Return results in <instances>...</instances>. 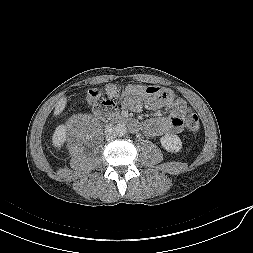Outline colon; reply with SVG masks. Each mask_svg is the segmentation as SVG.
<instances>
[{
	"mask_svg": "<svg viewBox=\"0 0 253 253\" xmlns=\"http://www.w3.org/2000/svg\"><path fill=\"white\" fill-rule=\"evenodd\" d=\"M163 88L160 86H143V85H128L123 90H120L116 85L109 84L104 88H92L87 93V99L95 103L102 95H106L109 99L118 97L130 98L138 96H156L160 95ZM186 126L191 131H197L200 127L199 118L192 113L186 118Z\"/></svg>",
	"mask_w": 253,
	"mask_h": 253,
	"instance_id": "1",
	"label": "colon"
}]
</instances>
